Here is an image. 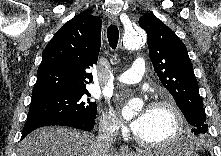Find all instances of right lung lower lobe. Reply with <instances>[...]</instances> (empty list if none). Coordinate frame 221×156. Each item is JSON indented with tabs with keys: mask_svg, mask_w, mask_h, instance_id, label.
I'll use <instances>...</instances> for the list:
<instances>
[{
	"mask_svg": "<svg viewBox=\"0 0 221 156\" xmlns=\"http://www.w3.org/2000/svg\"><path fill=\"white\" fill-rule=\"evenodd\" d=\"M95 119L90 118H46V119H27L21 140L29 134L31 131L43 127V126H50V125H61V126H68L73 127L85 131H90L94 128Z\"/></svg>",
	"mask_w": 221,
	"mask_h": 156,
	"instance_id": "obj_1",
	"label": "right lung lower lobe"
}]
</instances>
